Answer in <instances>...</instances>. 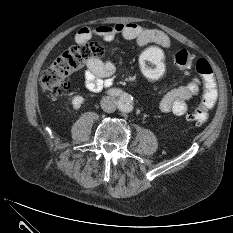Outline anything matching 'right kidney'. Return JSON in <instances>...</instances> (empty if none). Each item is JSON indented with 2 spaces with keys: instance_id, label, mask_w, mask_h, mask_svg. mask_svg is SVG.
Masks as SVG:
<instances>
[{
  "instance_id": "obj_1",
  "label": "right kidney",
  "mask_w": 233,
  "mask_h": 233,
  "mask_svg": "<svg viewBox=\"0 0 233 233\" xmlns=\"http://www.w3.org/2000/svg\"><path fill=\"white\" fill-rule=\"evenodd\" d=\"M84 101H85L84 97L80 95L75 96L71 101L73 109L78 110L81 107V105L84 103Z\"/></svg>"
}]
</instances>
